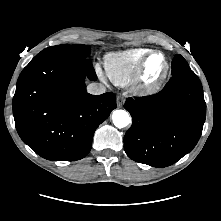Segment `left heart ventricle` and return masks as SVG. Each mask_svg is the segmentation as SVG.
Wrapping results in <instances>:
<instances>
[{"label": "left heart ventricle", "instance_id": "b2bd125f", "mask_svg": "<svg viewBox=\"0 0 221 221\" xmlns=\"http://www.w3.org/2000/svg\"><path fill=\"white\" fill-rule=\"evenodd\" d=\"M165 69V61L162 55L156 54L150 58L147 64L146 76L149 81L155 80Z\"/></svg>", "mask_w": 221, "mask_h": 221}]
</instances>
